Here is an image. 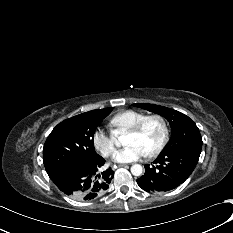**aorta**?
Masks as SVG:
<instances>
[{"label":"aorta","instance_id":"762f6f07","mask_svg":"<svg viewBox=\"0 0 233 233\" xmlns=\"http://www.w3.org/2000/svg\"><path fill=\"white\" fill-rule=\"evenodd\" d=\"M143 168L140 164H134L131 166V173L134 176H140L142 174Z\"/></svg>","mask_w":233,"mask_h":233}]
</instances>
